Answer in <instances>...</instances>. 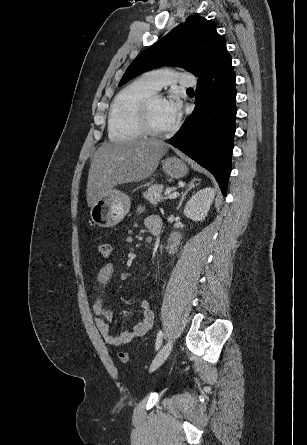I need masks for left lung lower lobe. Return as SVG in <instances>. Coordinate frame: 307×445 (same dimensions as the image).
I'll use <instances>...</instances> for the list:
<instances>
[{
  "mask_svg": "<svg viewBox=\"0 0 307 445\" xmlns=\"http://www.w3.org/2000/svg\"><path fill=\"white\" fill-rule=\"evenodd\" d=\"M235 72L230 55L198 77L193 113L170 139L216 178L226 194L236 118Z\"/></svg>",
  "mask_w": 307,
  "mask_h": 445,
  "instance_id": "0a47b994",
  "label": "left lung lower lobe"
}]
</instances>
